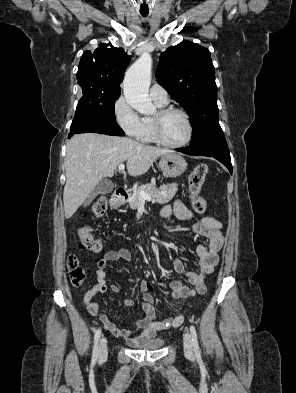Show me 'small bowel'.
Returning <instances> with one entry per match:
<instances>
[{"label":"small bowel","mask_w":296,"mask_h":393,"mask_svg":"<svg viewBox=\"0 0 296 393\" xmlns=\"http://www.w3.org/2000/svg\"><path fill=\"white\" fill-rule=\"evenodd\" d=\"M161 215L169 218L174 215L183 221H194L188 235L184 237L185 242H191L196 237L203 236L208 239L205 244H198L196 248L197 264L199 269L191 272L187 271L184 264L175 259L173 261L174 269L187 276L190 287L180 280H174L171 283L172 292L170 298L185 299L193 297L196 294L202 295L206 292L205 280L213 272L218 263V251L223 245L222 223L214 217L204 216L196 218L194 213L181 201L177 200L173 205L165 206ZM132 258L131 252L125 248L110 250L97 261V284L89 289L83 296V302L88 312L93 316H98L105 329L116 337L125 338L130 346L136 347L146 341L154 338L158 331L175 328L183 323L184 317L176 315L171 317H160L156 309L157 297L153 290L152 284L144 280L140 286L143 301L141 303L144 312L143 317H134L135 328L133 330L119 327L112 322L107 315L100 314L99 303L93 298L98 293H104L108 289L113 293H119L120 287L117 284H108L106 277V266L109 262H129ZM135 304V299L130 298L123 304L124 307H130Z\"/></svg>","instance_id":"1"}]
</instances>
